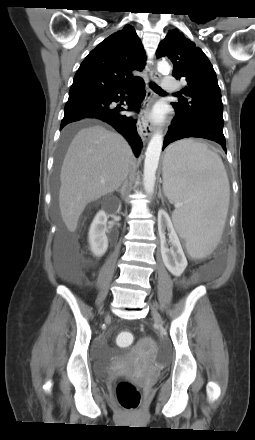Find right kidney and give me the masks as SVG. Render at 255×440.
Instances as JSON below:
<instances>
[{"instance_id": "1", "label": "right kidney", "mask_w": 255, "mask_h": 440, "mask_svg": "<svg viewBox=\"0 0 255 440\" xmlns=\"http://www.w3.org/2000/svg\"><path fill=\"white\" fill-rule=\"evenodd\" d=\"M121 205L118 207L120 210ZM107 215L105 211L100 210L90 226L89 229V244L91 251L96 257H101L108 249V238L106 236Z\"/></svg>"}]
</instances>
